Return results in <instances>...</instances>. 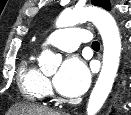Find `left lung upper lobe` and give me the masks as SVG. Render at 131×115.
<instances>
[{
  "label": "left lung upper lobe",
  "mask_w": 131,
  "mask_h": 115,
  "mask_svg": "<svg viewBox=\"0 0 131 115\" xmlns=\"http://www.w3.org/2000/svg\"><path fill=\"white\" fill-rule=\"evenodd\" d=\"M91 3L95 6L102 7L106 10H110V2L109 0H91Z\"/></svg>",
  "instance_id": "obj_1"
}]
</instances>
